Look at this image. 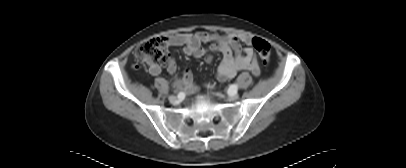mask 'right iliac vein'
<instances>
[{"instance_id":"1","label":"right iliac vein","mask_w":406,"mask_h":168,"mask_svg":"<svg viewBox=\"0 0 406 168\" xmlns=\"http://www.w3.org/2000/svg\"><path fill=\"white\" fill-rule=\"evenodd\" d=\"M168 99H169V101H170L171 103H175V102L177 101V97H176L175 95L169 96Z\"/></svg>"}]
</instances>
